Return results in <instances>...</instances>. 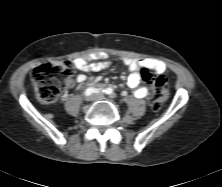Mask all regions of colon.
Here are the masks:
<instances>
[{
  "label": "colon",
  "mask_w": 222,
  "mask_h": 187,
  "mask_svg": "<svg viewBox=\"0 0 222 187\" xmlns=\"http://www.w3.org/2000/svg\"><path fill=\"white\" fill-rule=\"evenodd\" d=\"M144 82L151 86L150 100L153 109H160L167 101L169 92L162 77H154L148 70L141 72ZM31 79L37 99L49 104L55 102L61 92L72 82L73 71L69 62L43 63L37 66Z\"/></svg>",
  "instance_id": "obj_1"
}]
</instances>
